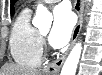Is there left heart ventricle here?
<instances>
[{
  "mask_svg": "<svg viewBox=\"0 0 102 75\" xmlns=\"http://www.w3.org/2000/svg\"><path fill=\"white\" fill-rule=\"evenodd\" d=\"M47 33V31H43V34H46Z\"/></svg>",
  "mask_w": 102,
  "mask_h": 75,
  "instance_id": "left-heart-ventricle-1",
  "label": "left heart ventricle"
}]
</instances>
